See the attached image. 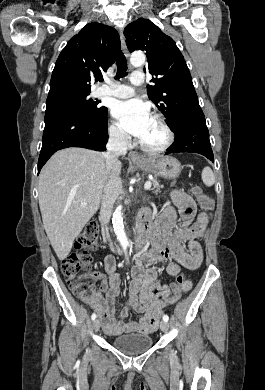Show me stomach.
Masks as SVG:
<instances>
[{
	"mask_svg": "<svg viewBox=\"0 0 265 390\" xmlns=\"http://www.w3.org/2000/svg\"><path fill=\"white\" fill-rule=\"evenodd\" d=\"M136 167L145 172L167 179L177 178L182 170L180 162L171 156L159 159L145 158L141 163L136 164Z\"/></svg>",
	"mask_w": 265,
	"mask_h": 390,
	"instance_id": "0dacf381",
	"label": "stomach"
}]
</instances>
